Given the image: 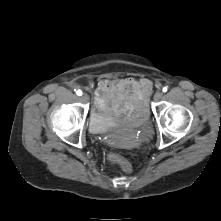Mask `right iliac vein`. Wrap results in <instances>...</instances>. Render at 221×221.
Segmentation results:
<instances>
[{"label":"right iliac vein","instance_id":"obj_1","mask_svg":"<svg viewBox=\"0 0 221 221\" xmlns=\"http://www.w3.org/2000/svg\"><path fill=\"white\" fill-rule=\"evenodd\" d=\"M81 100L83 101V102H88L89 101V95L88 94H86V93H84L82 96H81Z\"/></svg>","mask_w":221,"mask_h":221}]
</instances>
